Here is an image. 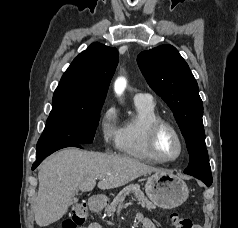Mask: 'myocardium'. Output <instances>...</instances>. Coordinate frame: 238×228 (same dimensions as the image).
I'll use <instances>...</instances> for the list:
<instances>
[{
    "instance_id": "obj_1",
    "label": "myocardium",
    "mask_w": 238,
    "mask_h": 228,
    "mask_svg": "<svg viewBox=\"0 0 238 228\" xmlns=\"http://www.w3.org/2000/svg\"><path fill=\"white\" fill-rule=\"evenodd\" d=\"M165 130L171 133L179 147L178 154L173 158H165L158 151V138ZM147 146L151 154L162 163L174 162L178 160L184 152V142L178 130L170 122L164 119H159L150 125L147 135Z\"/></svg>"
}]
</instances>
